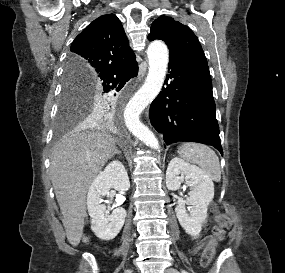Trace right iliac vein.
<instances>
[{
	"label": "right iliac vein",
	"instance_id": "63e3f726",
	"mask_svg": "<svg viewBox=\"0 0 285 273\" xmlns=\"http://www.w3.org/2000/svg\"><path fill=\"white\" fill-rule=\"evenodd\" d=\"M125 273H132V270H127Z\"/></svg>",
	"mask_w": 285,
	"mask_h": 273
}]
</instances>
